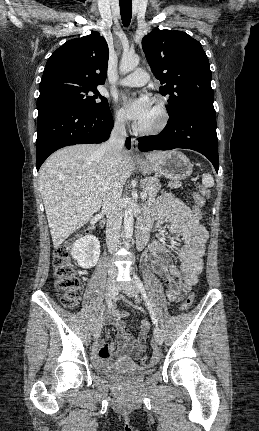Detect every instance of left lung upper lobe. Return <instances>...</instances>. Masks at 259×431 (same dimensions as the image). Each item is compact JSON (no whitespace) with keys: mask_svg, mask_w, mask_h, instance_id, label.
Here are the masks:
<instances>
[{"mask_svg":"<svg viewBox=\"0 0 259 431\" xmlns=\"http://www.w3.org/2000/svg\"><path fill=\"white\" fill-rule=\"evenodd\" d=\"M142 48L159 88L168 97V114L187 108L215 113L211 70L200 42L182 31L155 28L142 40Z\"/></svg>","mask_w":259,"mask_h":431,"instance_id":"5c2ea615","label":"left lung upper lobe"}]
</instances>
